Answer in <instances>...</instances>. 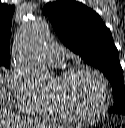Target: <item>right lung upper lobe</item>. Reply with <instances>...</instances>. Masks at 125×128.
I'll use <instances>...</instances> for the list:
<instances>
[{"mask_svg":"<svg viewBox=\"0 0 125 128\" xmlns=\"http://www.w3.org/2000/svg\"><path fill=\"white\" fill-rule=\"evenodd\" d=\"M14 5L0 3V59L10 60V34Z\"/></svg>","mask_w":125,"mask_h":128,"instance_id":"cb5924a9","label":"right lung upper lobe"}]
</instances>
